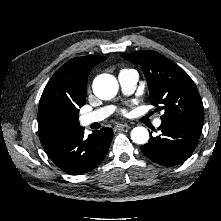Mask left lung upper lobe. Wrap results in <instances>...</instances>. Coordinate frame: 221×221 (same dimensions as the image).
Segmentation results:
<instances>
[{"label":"left lung upper lobe","instance_id":"5c2ea615","mask_svg":"<svg viewBox=\"0 0 221 221\" xmlns=\"http://www.w3.org/2000/svg\"><path fill=\"white\" fill-rule=\"evenodd\" d=\"M142 67L150 91V102L163 110L162 121L204 123L203 103L197 87L179 66L156 51H137L121 55Z\"/></svg>","mask_w":221,"mask_h":221}]
</instances>
